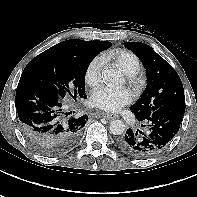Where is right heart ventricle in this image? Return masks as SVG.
I'll list each match as a JSON object with an SVG mask.
<instances>
[{"instance_id":"right-heart-ventricle-1","label":"right heart ventricle","mask_w":197,"mask_h":197,"mask_svg":"<svg viewBox=\"0 0 197 197\" xmlns=\"http://www.w3.org/2000/svg\"><path fill=\"white\" fill-rule=\"evenodd\" d=\"M114 60L115 64L126 74L134 75L141 70V61L139 57L131 51L118 49L107 54Z\"/></svg>"}]
</instances>
